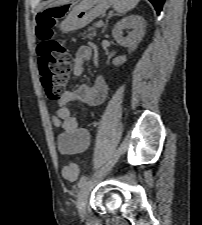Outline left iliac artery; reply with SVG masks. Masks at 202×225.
Returning a JSON list of instances; mask_svg holds the SVG:
<instances>
[{
	"label": "left iliac artery",
	"instance_id": "44dca946",
	"mask_svg": "<svg viewBox=\"0 0 202 225\" xmlns=\"http://www.w3.org/2000/svg\"><path fill=\"white\" fill-rule=\"evenodd\" d=\"M87 180V176H82L78 182V187H82Z\"/></svg>",
	"mask_w": 202,
	"mask_h": 225
}]
</instances>
